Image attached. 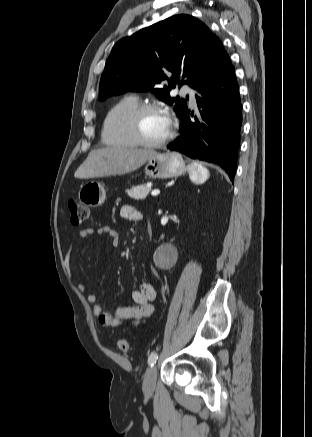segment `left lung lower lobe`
<instances>
[{"instance_id":"1","label":"left lung lower lobe","mask_w":312,"mask_h":437,"mask_svg":"<svg viewBox=\"0 0 312 437\" xmlns=\"http://www.w3.org/2000/svg\"><path fill=\"white\" fill-rule=\"evenodd\" d=\"M199 113L180 116L181 135L167 148L191 158L220 165L233 180L242 124V105L234 68L225 52L209 76L196 88Z\"/></svg>"}]
</instances>
